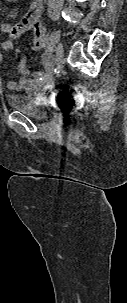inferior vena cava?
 <instances>
[{"label": "inferior vena cava", "mask_w": 127, "mask_h": 303, "mask_svg": "<svg viewBox=\"0 0 127 303\" xmlns=\"http://www.w3.org/2000/svg\"><path fill=\"white\" fill-rule=\"evenodd\" d=\"M63 0H48V15L52 20H57L62 9Z\"/></svg>", "instance_id": "obj_1"}]
</instances>
